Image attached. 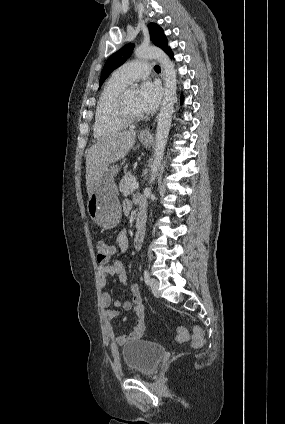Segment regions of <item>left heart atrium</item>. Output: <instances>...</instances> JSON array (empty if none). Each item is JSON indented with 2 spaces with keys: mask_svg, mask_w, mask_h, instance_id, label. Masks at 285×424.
Here are the masks:
<instances>
[{
  "mask_svg": "<svg viewBox=\"0 0 285 424\" xmlns=\"http://www.w3.org/2000/svg\"><path fill=\"white\" fill-rule=\"evenodd\" d=\"M161 98L160 87L151 81H145L137 95V108L141 114H148L156 110Z\"/></svg>",
  "mask_w": 285,
  "mask_h": 424,
  "instance_id": "39dd6f15",
  "label": "left heart atrium"
}]
</instances>
